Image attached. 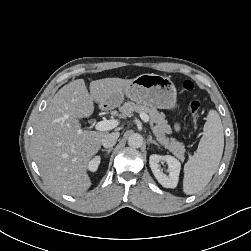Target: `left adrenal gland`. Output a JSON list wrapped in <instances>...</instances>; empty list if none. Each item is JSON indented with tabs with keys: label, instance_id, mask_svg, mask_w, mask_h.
I'll list each match as a JSON object with an SVG mask.
<instances>
[{
	"label": "left adrenal gland",
	"instance_id": "left-adrenal-gland-1",
	"mask_svg": "<svg viewBox=\"0 0 251 251\" xmlns=\"http://www.w3.org/2000/svg\"><path fill=\"white\" fill-rule=\"evenodd\" d=\"M148 142H149V143H153V144H155V145H157V146H160L155 140L152 139L151 136L148 137Z\"/></svg>",
	"mask_w": 251,
	"mask_h": 251
}]
</instances>
